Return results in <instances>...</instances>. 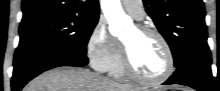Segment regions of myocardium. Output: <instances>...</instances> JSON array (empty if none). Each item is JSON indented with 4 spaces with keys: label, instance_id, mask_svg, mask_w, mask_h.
Wrapping results in <instances>:
<instances>
[{
    "label": "myocardium",
    "instance_id": "obj_1",
    "mask_svg": "<svg viewBox=\"0 0 220 91\" xmlns=\"http://www.w3.org/2000/svg\"><path fill=\"white\" fill-rule=\"evenodd\" d=\"M136 29L141 34L153 35L160 41L166 54L167 66H166L165 71L157 77L148 78V77L142 76L134 68L132 61H131L129 50L127 46L122 42V61H123V69H124L125 75L131 78L132 80H135L145 85H155V84H159L167 80L173 74L174 68H175V58H174L173 50L168 40L165 38V36L160 31L152 27L138 25L136 26Z\"/></svg>",
    "mask_w": 220,
    "mask_h": 91
}]
</instances>
